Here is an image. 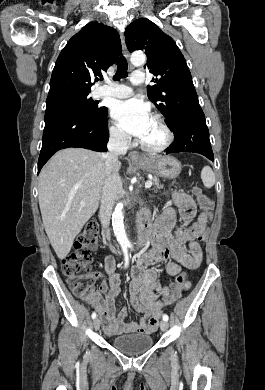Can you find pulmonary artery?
<instances>
[{
  "mask_svg": "<svg viewBox=\"0 0 265 390\" xmlns=\"http://www.w3.org/2000/svg\"><path fill=\"white\" fill-rule=\"evenodd\" d=\"M131 84L141 85L144 83V74L140 71H135L131 76ZM132 94V88L123 84H107L99 87L96 91V96L102 97H114V98H126Z\"/></svg>",
  "mask_w": 265,
  "mask_h": 390,
  "instance_id": "1",
  "label": "pulmonary artery"
}]
</instances>
